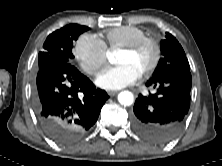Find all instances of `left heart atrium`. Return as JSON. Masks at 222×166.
<instances>
[{"label":"left heart atrium","instance_id":"obj_1","mask_svg":"<svg viewBox=\"0 0 222 166\" xmlns=\"http://www.w3.org/2000/svg\"><path fill=\"white\" fill-rule=\"evenodd\" d=\"M140 75L132 65L123 63L104 69L96 78V84L106 90H118L135 83Z\"/></svg>","mask_w":222,"mask_h":166}]
</instances>
